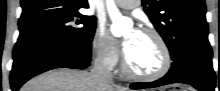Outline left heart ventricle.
I'll list each match as a JSON object with an SVG mask.
<instances>
[{"instance_id":"obj_1","label":"left heart ventricle","mask_w":220,"mask_h":91,"mask_svg":"<svg viewBox=\"0 0 220 91\" xmlns=\"http://www.w3.org/2000/svg\"><path fill=\"white\" fill-rule=\"evenodd\" d=\"M131 33L129 31L126 37ZM130 68L142 74L154 73L162 64V55L155 39L145 33L139 32L125 50Z\"/></svg>"}]
</instances>
